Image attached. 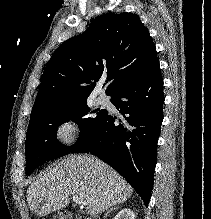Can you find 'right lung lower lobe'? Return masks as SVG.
<instances>
[{
  "mask_svg": "<svg viewBox=\"0 0 211 219\" xmlns=\"http://www.w3.org/2000/svg\"><path fill=\"white\" fill-rule=\"evenodd\" d=\"M110 101L123 115L107 111L95 128L71 149L91 153L120 173L149 204L157 159V142L163 120V79L156 60L145 72L129 80L111 95Z\"/></svg>",
  "mask_w": 211,
  "mask_h": 219,
  "instance_id": "98d812e1",
  "label": "right lung lower lobe"
}]
</instances>
